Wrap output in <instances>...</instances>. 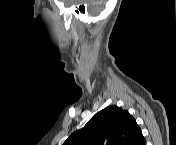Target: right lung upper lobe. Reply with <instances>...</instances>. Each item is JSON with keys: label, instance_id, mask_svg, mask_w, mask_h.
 I'll return each mask as SVG.
<instances>
[{"label": "right lung upper lobe", "instance_id": "obj_1", "mask_svg": "<svg viewBox=\"0 0 176 145\" xmlns=\"http://www.w3.org/2000/svg\"><path fill=\"white\" fill-rule=\"evenodd\" d=\"M63 145H145V141L129 112L113 105L97 112Z\"/></svg>", "mask_w": 176, "mask_h": 145}]
</instances>
